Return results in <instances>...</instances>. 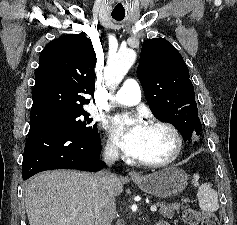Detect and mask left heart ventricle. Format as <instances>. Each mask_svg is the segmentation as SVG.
I'll use <instances>...</instances> for the list:
<instances>
[{
    "instance_id": "b2bd125f",
    "label": "left heart ventricle",
    "mask_w": 237,
    "mask_h": 225,
    "mask_svg": "<svg viewBox=\"0 0 237 225\" xmlns=\"http://www.w3.org/2000/svg\"><path fill=\"white\" fill-rule=\"evenodd\" d=\"M173 145V138L169 132L147 126L138 159L150 161L164 159L172 152Z\"/></svg>"
}]
</instances>
